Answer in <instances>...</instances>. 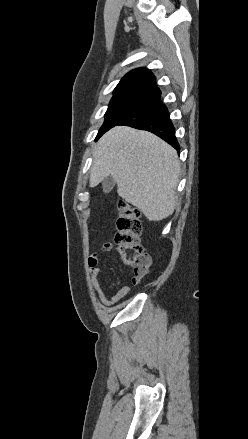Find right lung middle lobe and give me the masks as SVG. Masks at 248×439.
Returning <instances> with one entry per match:
<instances>
[{
  "label": "right lung middle lobe",
  "instance_id": "right-lung-middle-lobe-1",
  "mask_svg": "<svg viewBox=\"0 0 248 439\" xmlns=\"http://www.w3.org/2000/svg\"><path fill=\"white\" fill-rule=\"evenodd\" d=\"M152 98L148 96L120 94L114 95L109 103L107 112L105 113V122L99 130L97 138H99L107 129L130 115L140 107L150 102Z\"/></svg>",
  "mask_w": 248,
  "mask_h": 439
}]
</instances>
